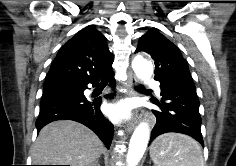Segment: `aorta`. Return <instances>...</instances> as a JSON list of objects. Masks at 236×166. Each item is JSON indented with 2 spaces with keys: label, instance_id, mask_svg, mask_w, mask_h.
<instances>
[{
  "label": "aorta",
  "instance_id": "obj_1",
  "mask_svg": "<svg viewBox=\"0 0 236 166\" xmlns=\"http://www.w3.org/2000/svg\"><path fill=\"white\" fill-rule=\"evenodd\" d=\"M132 68L136 76L142 80H148L153 74L151 61L136 56L132 61ZM150 136V129L147 123H141L133 132L130 139L127 154V166H136L144 155Z\"/></svg>",
  "mask_w": 236,
  "mask_h": 166
}]
</instances>
